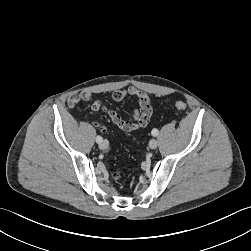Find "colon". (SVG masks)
Instances as JSON below:
<instances>
[{
	"label": "colon",
	"instance_id": "obj_1",
	"mask_svg": "<svg viewBox=\"0 0 251 251\" xmlns=\"http://www.w3.org/2000/svg\"><path fill=\"white\" fill-rule=\"evenodd\" d=\"M174 106H175V108H176L178 111H180V112H182V111H184V110L186 109V104H185L184 102H182V101L176 102ZM94 125L97 126V127H101V126H100L98 123H96V122L94 123ZM112 178H113V180H115V181H119L120 178H121V175H120L119 172H115V173H113Z\"/></svg>",
	"mask_w": 251,
	"mask_h": 251
}]
</instances>
